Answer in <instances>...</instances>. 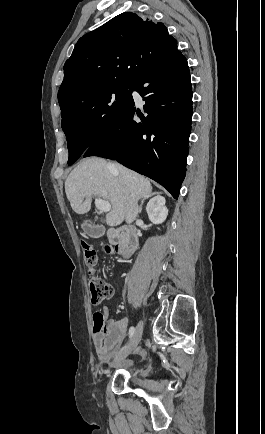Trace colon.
<instances>
[{
    "label": "colon",
    "instance_id": "5ec220e1",
    "mask_svg": "<svg viewBox=\"0 0 265 434\" xmlns=\"http://www.w3.org/2000/svg\"><path fill=\"white\" fill-rule=\"evenodd\" d=\"M81 249L84 255L85 264L88 267H94L98 264V252L97 250L89 243L82 241ZM104 252L108 253L109 249L104 248ZM89 286V298L93 305L101 304L104 301L110 300L113 295V286L102 280L99 277L91 276L88 279ZM92 320V332L94 335H101L105 330L106 325V317L104 314H93L91 317Z\"/></svg>",
    "mask_w": 265,
    "mask_h": 434
}]
</instances>
